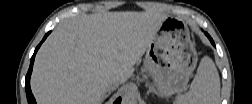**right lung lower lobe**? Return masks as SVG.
Segmentation results:
<instances>
[{"label": "right lung lower lobe", "instance_id": "obj_1", "mask_svg": "<svg viewBox=\"0 0 252 104\" xmlns=\"http://www.w3.org/2000/svg\"><path fill=\"white\" fill-rule=\"evenodd\" d=\"M50 34V32H48L43 40L41 41V43L37 46V48L35 49V52L30 60V67H29V70H28V73L26 75V82H25V89H26V95H27V100H28V103L29 104H36V101H35V98L31 92V89H30V76H31V73H32V68H33V63H34V59H35V55H36V52L37 50L39 49V47L41 46L42 42L46 39V37ZM121 102V98H118L114 104H118Z\"/></svg>", "mask_w": 252, "mask_h": 104}]
</instances>
